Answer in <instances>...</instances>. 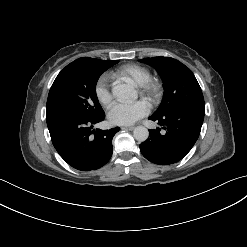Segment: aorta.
Listing matches in <instances>:
<instances>
[{
    "instance_id": "aorta-1",
    "label": "aorta",
    "mask_w": 247,
    "mask_h": 247,
    "mask_svg": "<svg viewBox=\"0 0 247 247\" xmlns=\"http://www.w3.org/2000/svg\"><path fill=\"white\" fill-rule=\"evenodd\" d=\"M112 94L119 101H126L135 96V89L129 83H116L112 88ZM133 136L137 141L143 142L147 140L149 131L144 126H137L133 130Z\"/></svg>"
}]
</instances>
